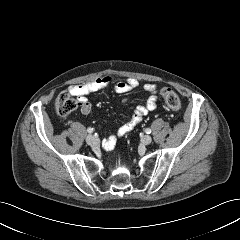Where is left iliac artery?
<instances>
[{
    "label": "left iliac artery",
    "instance_id": "obj_1",
    "mask_svg": "<svg viewBox=\"0 0 240 240\" xmlns=\"http://www.w3.org/2000/svg\"><path fill=\"white\" fill-rule=\"evenodd\" d=\"M145 132H146L147 134H150V133H151V129L147 128V129H145Z\"/></svg>",
    "mask_w": 240,
    "mask_h": 240
}]
</instances>
